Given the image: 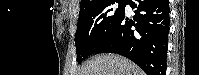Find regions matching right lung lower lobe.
Instances as JSON below:
<instances>
[{"instance_id":"1","label":"right lung lower lobe","mask_w":199,"mask_h":75,"mask_svg":"<svg viewBox=\"0 0 199 75\" xmlns=\"http://www.w3.org/2000/svg\"><path fill=\"white\" fill-rule=\"evenodd\" d=\"M126 4L136 9L133 20L124 12L94 54H120L136 63L147 75H166L170 26L168 0H126Z\"/></svg>"}]
</instances>
